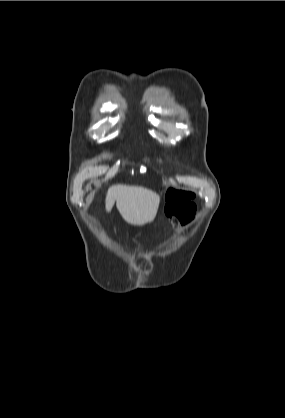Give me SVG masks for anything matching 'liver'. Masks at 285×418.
<instances>
[{
    "mask_svg": "<svg viewBox=\"0 0 285 418\" xmlns=\"http://www.w3.org/2000/svg\"><path fill=\"white\" fill-rule=\"evenodd\" d=\"M123 219L134 226H142L156 217L160 196L144 187L115 185L108 189L105 208L110 212L115 204Z\"/></svg>",
    "mask_w": 285,
    "mask_h": 418,
    "instance_id": "liver-1",
    "label": "liver"
}]
</instances>
